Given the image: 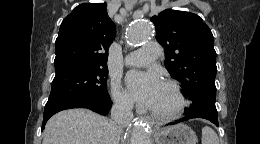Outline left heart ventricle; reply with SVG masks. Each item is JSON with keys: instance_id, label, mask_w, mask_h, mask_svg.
<instances>
[{"instance_id": "left-heart-ventricle-1", "label": "left heart ventricle", "mask_w": 260, "mask_h": 144, "mask_svg": "<svg viewBox=\"0 0 260 144\" xmlns=\"http://www.w3.org/2000/svg\"><path fill=\"white\" fill-rule=\"evenodd\" d=\"M175 105L176 100L172 91L162 84L158 96L151 108L154 110H170L174 108Z\"/></svg>"}]
</instances>
